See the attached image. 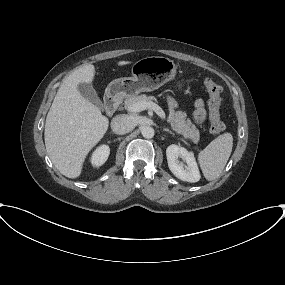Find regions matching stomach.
I'll return each mask as SVG.
<instances>
[{
	"label": "stomach",
	"mask_w": 285,
	"mask_h": 285,
	"mask_svg": "<svg viewBox=\"0 0 285 285\" xmlns=\"http://www.w3.org/2000/svg\"><path fill=\"white\" fill-rule=\"evenodd\" d=\"M175 76L176 65L173 60L162 56L146 57L134 63L132 77L113 80L107 86L106 93L112 97H129L140 92H151Z\"/></svg>",
	"instance_id": "stomach-1"
}]
</instances>
